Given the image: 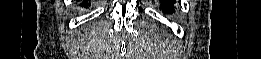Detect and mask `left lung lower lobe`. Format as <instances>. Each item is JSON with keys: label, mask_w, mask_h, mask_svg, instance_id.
<instances>
[{"label": "left lung lower lobe", "mask_w": 261, "mask_h": 59, "mask_svg": "<svg viewBox=\"0 0 261 59\" xmlns=\"http://www.w3.org/2000/svg\"><path fill=\"white\" fill-rule=\"evenodd\" d=\"M160 2H161L160 9L162 8L163 11H166L167 13L174 11V9H173L174 1L173 0H160Z\"/></svg>", "instance_id": "0a47b994"}]
</instances>
